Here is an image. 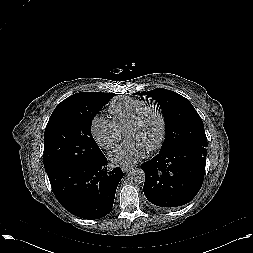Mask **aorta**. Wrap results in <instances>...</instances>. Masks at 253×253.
<instances>
[{
  "mask_svg": "<svg viewBox=\"0 0 253 253\" xmlns=\"http://www.w3.org/2000/svg\"><path fill=\"white\" fill-rule=\"evenodd\" d=\"M128 178L132 183L140 184L143 183L145 180V173L140 168L133 169L129 172Z\"/></svg>",
  "mask_w": 253,
  "mask_h": 253,
  "instance_id": "aorta-1",
  "label": "aorta"
}]
</instances>
